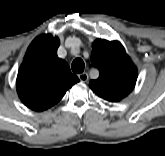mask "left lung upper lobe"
Instances as JSON below:
<instances>
[{
	"label": "left lung upper lobe",
	"mask_w": 165,
	"mask_h": 156,
	"mask_svg": "<svg viewBox=\"0 0 165 156\" xmlns=\"http://www.w3.org/2000/svg\"><path fill=\"white\" fill-rule=\"evenodd\" d=\"M92 46L91 61L99 78L91 80L89 87L110 102L122 100L134 89L137 68L118 41L97 39Z\"/></svg>",
	"instance_id": "left-lung-upper-lobe-1"
}]
</instances>
